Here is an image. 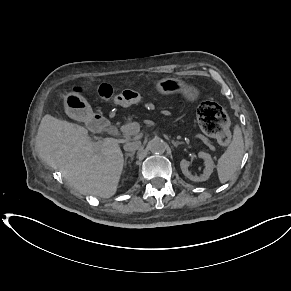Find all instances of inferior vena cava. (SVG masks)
<instances>
[{
	"instance_id": "602c4592",
	"label": "inferior vena cava",
	"mask_w": 291,
	"mask_h": 291,
	"mask_svg": "<svg viewBox=\"0 0 291 291\" xmlns=\"http://www.w3.org/2000/svg\"><path fill=\"white\" fill-rule=\"evenodd\" d=\"M141 146V141L135 140L132 142H127L124 144L123 148L125 151L135 152L137 149H139Z\"/></svg>"
}]
</instances>
